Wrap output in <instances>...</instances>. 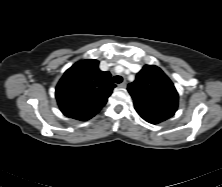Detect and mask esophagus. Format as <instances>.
I'll list each match as a JSON object with an SVG mask.
<instances>
[{"mask_svg":"<svg viewBox=\"0 0 222 187\" xmlns=\"http://www.w3.org/2000/svg\"><path fill=\"white\" fill-rule=\"evenodd\" d=\"M120 88H126L127 84L126 82H122L121 84L118 85Z\"/></svg>","mask_w":222,"mask_h":187,"instance_id":"esophagus-1","label":"esophagus"}]
</instances>
